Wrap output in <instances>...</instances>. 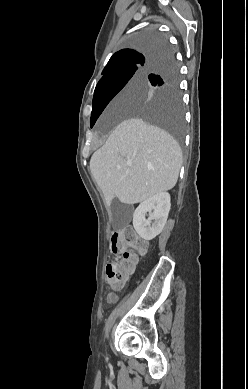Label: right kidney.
<instances>
[{"instance_id": "right-kidney-1", "label": "right kidney", "mask_w": 248, "mask_h": 389, "mask_svg": "<svg viewBox=\"0 0 248 389\" xmlns=\"http://www.w3.org/2000/svg\"><path fill=\"white\" fill-rule=\"evenodd\" d=\"M170 195L160 192L143 201L134 211L133 226L138 235L146 241L161 233L170 211ZM149 213V218L145 215ZM154 220V222H152Z\"/></svg>"}]
</instances>
